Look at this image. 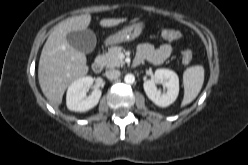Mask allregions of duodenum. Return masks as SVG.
<instances>
[{
	"instance_id": "duodenum-1",
	"label": "duodenum",
	"mask_w": 248,
	"mask_h": 165,
	"mask_svg": "<svg viewBox=\"0 0 248 165\" xmlns=\"http://www.w3.org/2000/svg\"><path fill=\"white\" fill-rule=\"evenodd\" d=\"M143 61H144L143 58L137 57L135 63H136V65H139ZM103 68H104V60H103V58H101V57L96 58L95 61L92 64L93 72L99 74V73H101L103 71Z\"/></svg>"
}]
</instances>
